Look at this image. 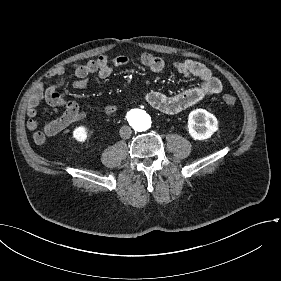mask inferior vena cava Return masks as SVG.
<instances>
[{"label":"inferior vena cava","instance_id":"1","mask_svg":"<svg viewBox=\"0 0 281 281\" xmlns=\"http://www.w3.org/2000/svg\"><path fill=\"white\" fill-rule=\"evenodd\" d=\"M119 133L121 138L128 139L131 137L132 131L129 126H122Z\"/></svg>","mask_w":281,"mask_h":281}]
</instances>
